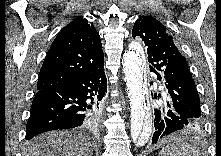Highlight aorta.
<instances>
[{
	"mask_svg": "<svg viewBox=\"0 0 221 156\" xmlns=\"http://www.w3.org/2000/svg\"><path fill=\"white\" fill-rule=\"evenodd\" d=\"M130 101L131 137L137 145H145L152 133V115L147 104L145 56L138 42H132L122 59Z\"/></svg>",
	"mask_w": 221,
	"mask_h": 156,
	"instance_id": "762f6f07",
	"label": "aorta"
}]
</instances>
